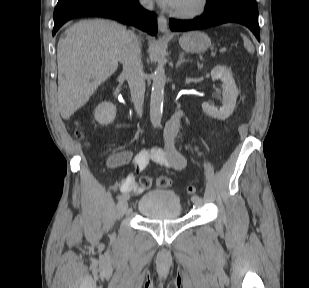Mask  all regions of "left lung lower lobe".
<instances>
[{"label": "left lung lower lobe", "mask_w": 309, "mask_h": 288, "mask_svg": "<svg viewBox=\"0 0 309 288\" xmlns=\"http://www.w3.org/2000/svg\"><path fill=\"white\" fill-rule=\"evenodd\" d=\"M237 22L247 26L260 41L258 10L255 0H216L207 3L206 11L195 20H170L173 31H189Z\"/></svg>", "instance_id": "1"}]
</instances>
